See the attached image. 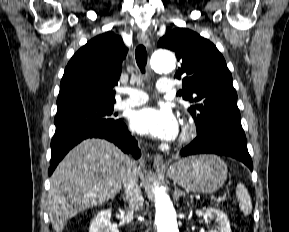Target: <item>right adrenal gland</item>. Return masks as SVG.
Segmentation results:
<instances>
[{
	"instance_id": "1",
	"label": "right adrenal gland",
	"mask_w": 289,
	"mask_h": 232,
	"mask_svg": "<svg viewBox=\"0 0 289 232\" xmlns=\"http://www.w3.org/2000/svg\"><path fill=\"white\" fill-rule=\"evenodd\" d=\"M123 199L126 201L127 200V198H125V196L123 195Z\"/></svg>"
}]
</instances>
